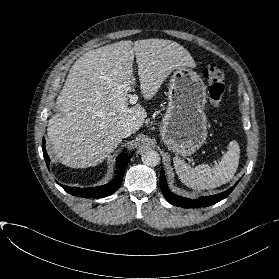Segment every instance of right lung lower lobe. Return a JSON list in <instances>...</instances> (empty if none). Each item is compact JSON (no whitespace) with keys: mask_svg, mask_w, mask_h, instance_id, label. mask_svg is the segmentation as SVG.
Returning a JSON list of instances; mask_svg holds the SVG:
<instances>
[{"mask_svg":"<svg viewBox=\"0 0 279 279\" xmlns=\"http://www.w3.org/2000/svg\"><path fill=\"white\" fill-rule=\"evenodd\" d=\"M42 150L46 165L49 166V156L45 149V139L42 140ZM132 156L120 155L117 157V174L108 184L98 187L78 188L61 185V187L71 195L84 198H102L114 193L121 185L127 164ZM59 184V183H58Z\"/></svg>","mask_w":279,"mask_h":279,"instance_id":"1","label":"right lung lower lobe"}]
</instances>
